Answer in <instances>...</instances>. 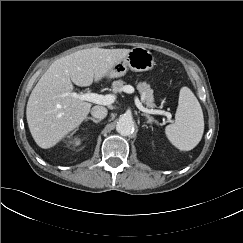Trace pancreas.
Here are the masks:
<instances>
[{
  "mask_svg": "<svg viewBox=\"0 0 243 243\" xmlns=\"http://www.w3.org/2000/svg\"><path fill=\"white\" fill-rule=\"evenodd\" d=\"M123 86H124V81L119 79L112 83V90L114 92H122ZM136 87L141 94L142 102L149 108L155 107L153 90L151 89L150 85L147 84L146 82H139L136 83Z\"/></svg>",
  "mask_w": 243,
  "mask_h": 243,
  "instance_id": "cf45deb5",
  "label": "pancreas"
}]
</instances>
